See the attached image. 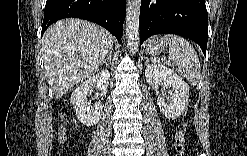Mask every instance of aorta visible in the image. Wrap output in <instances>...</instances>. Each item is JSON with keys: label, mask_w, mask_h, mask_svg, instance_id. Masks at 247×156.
I'll return each instance as SVG.
<instances>
[{"label": "aorta", "mask_w": 247, "mask_h": 156, "mask_svg": "<svg viewBox=\"0 0 247 156\" xmlns=\"http://www.w3.org/2000/svg\"><path fill=\"white\" fill-rule=\"evenodd\" d=\"M140 0H129L126 10V41L133 53L138 49L139 44V16Z\"/></svg>", "instance_id": "1"}]
</instances>
